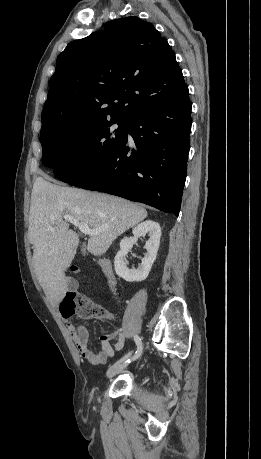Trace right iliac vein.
<instances>
[{
  "instance_id": "63e3f726",
  "label": "right iliac vein",
  "mask_w": 261,
  "mask_h": 459,
  "mask_svg": "<svg viewBox=\"0 0 261 459\" xmlns=\"http://www.w3.org/2000/svg\"><path fill=\"white\" fill-rule=\"evenodd\" d=\"M127 365L128 364L126 362L118 361L107 370V377L111 378L115 376L116 374L120 373L123 369H125Z\"/></svg>"
}]
</instances>
